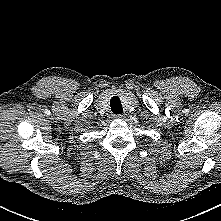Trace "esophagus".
<instances>
[{
  "label": "esophagus",
  "instance_id": "obj_1",
  "mask_svg": "<svg viewBox=\"0 0 221 221\" xmlns=\"http://www.w3.org/2000/svg\"><path fill=\"white\" fill-rule=\"evenodd\" d=\"M125 116L123 114H116V115H113V118L115 119H123Z\"/></svg>",
  "mask_w": 221,
  "mask_h": 221
}]
</instances>
